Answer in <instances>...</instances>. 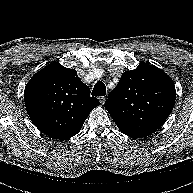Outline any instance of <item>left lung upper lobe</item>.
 I'll return each mask as SVG.
<instances>
[{"label":"left lung upper lobe","instance_id":"1","mask_svg":"<svg viewBox=\"0 0 193 193\" xmlns=\"http://www.w3.org/2000/svg\"><path fill=\"white\" fill-rule=\"evenodd\" d=\"M176 98L172 79L161 69L141 63L122 74L105 108L125 135L143 138L159 129Z\"/></svg>","mask_w":193,"mask_h":193}]
</instances>
